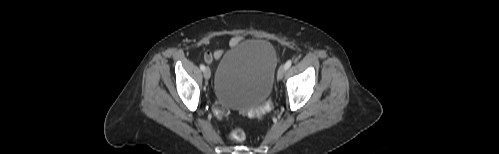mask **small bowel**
<instances>
[{
	"label": "small bowel",
	"mask_w": 499,
	"mask_h": 154,
	"mask_svg": "<svg viewBox=\"0 0 499 154\" xmlns=\"http://www.w3.org/2000/svg\"><path fill=\"white\" fill-rule=\"evenodd\" d=\"M243 40H244L243 36H235V37L230 39L229 46L234 48V47L238 46ZM223 53H224L223 50H217L213 54L208 53L206 55L205 59L208 63H212L213 61L219 60Z\"/></svg>",
	"instance_id": "c3829d8e"
}]
</instances>
